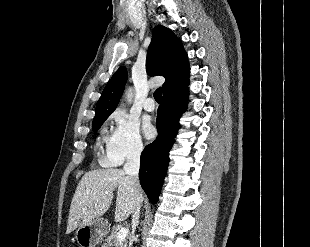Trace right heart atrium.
Masks as SVG:
<instances>
[{"label":"right heart atrium","instance_id":"right-heart-atrium-1","mask_svg":"<svg viewBox=\"0 0 310 247\" xmlns=\"http://www.w3.org/2000/svg\"><path fill=\"white\" fill-rule=\"evenodd\" d=\"M111 120L114 128L106 141L102 163L118 166L126 160L139 158L144 145L138 122L123 110L115 111Z\"/></svg>","mask_w":310,"mask_h":247}]
</instances>
